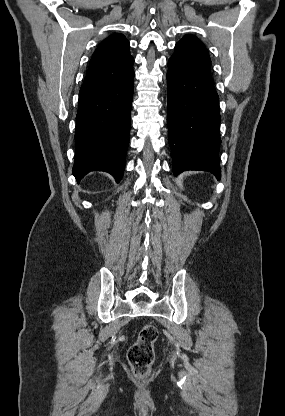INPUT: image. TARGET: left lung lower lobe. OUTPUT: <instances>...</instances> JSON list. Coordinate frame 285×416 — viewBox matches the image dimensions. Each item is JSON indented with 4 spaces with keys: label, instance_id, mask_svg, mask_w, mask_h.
Returning <instances> with one entry per match:
<instances>
[{
    "label": "left lung lower lobe",
    "instance_id": "left-lung-lower-lobe-1",
    "mask_svg": "<svg viewBox=\"0 0 285 416\" xmlns=\"http://www.w3.org/2000/svg\"><path fill=\"white\" fill-rule=\"evenodd\" d=\"M167 81L168 140L174 175L200 170L219 180V97L212 77L171 57Z\"/></svg>",
    "mask_w": 285,
    "mask_h": 416
}]
</instances>
